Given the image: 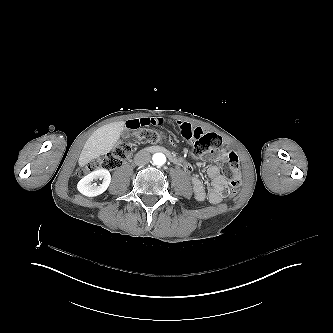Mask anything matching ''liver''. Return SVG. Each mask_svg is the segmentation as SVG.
I'll use <instances>...</instances> for the list:
<instances>
[{"label": "liver", "mask_w": 333, "mask_h": 333, "mask_svg": "<svg viewBox=\"0 0 333 333\" xmlns=\"http://www.w3.org/2000/svg\"><path fill=\"white\" fill-rule=\"evenodd\" d=\"M124 121L106 124L93 132L87 139L78 159L80 167H84L91 160L110 152L123 131Z\"/></svg>", "instance_id": "obj_1"}]
</instances>
